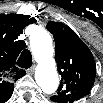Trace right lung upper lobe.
Masks as SVG:
<instances>
[{
  "label": "right lung upper lobe",
  "instance_id": "cb5924a9",
  "mask_svg": "<svg viewBox=\"0 0 103 103\" xmlns=\"http://www.w3.org/2000/svg\"><path fill=\"white\" fill-rule=\"evenodd\" d=\"M36 22L34 17L18 14H0V99L10 98L15 81L25 71L15 65V61L24 48L22 40L16 41L25 26Z\"/></svg>",
  "mask_w": 103,
  "mask_h": 103
}]
</instances>
